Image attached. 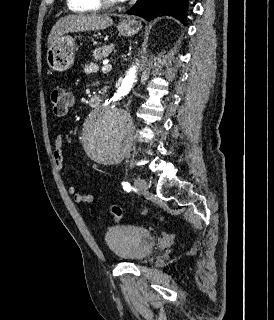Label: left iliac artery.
I'll list each match as a JSON object with an SVG mask.
<instances>
[{"label": "left iliac artery", "instance_id": "44dca946", "mask_svg": "<svg viewBox=\"0 0 274 320\" xmlns=\"http://www.w3.org/2000/svg\"><path fill=\"white\" fill-rule=\"evenodd\" d=\"M122 186L125 191H127V192L131 191V186L128 182H123Z\"/></svg>", "mask_w": 274, "mask_h": 320}]
</instances>
